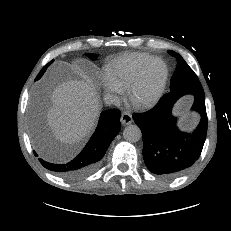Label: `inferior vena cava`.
I'll return each instance as SVG.
<instances>
[{
    "label": "inferior vena cava",
    "mask_w": 231,
    "mask_h": 231,
    "mask_svg": "<svg viewBox=\"0 0 231 231\" xmlns=\"http://www.w3.org/2000/svg\"><path fill=\"white\" fill-rule=\"evenodd\" d=\"M104 102L107 105H115V106H119L120 105V100H119L118 96L113 95V94H106V95H104Z\"/></svg>",
    "instance_id": "602c4592"
}]
</instances>
